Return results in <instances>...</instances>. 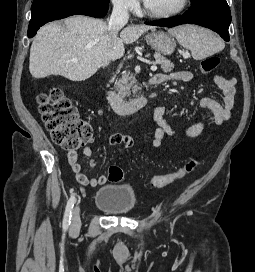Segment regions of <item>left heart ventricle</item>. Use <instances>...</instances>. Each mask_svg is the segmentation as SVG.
<instances>
[{"label":"left heart ventricle","mask_w":255,"mask_h":272,"mask_svg":"<svg viewBox=\"0 0 255 272\" xmlns=\"http://www.w3.org/2000/svg\"><path fill=\"white\" fill-rule=\"evenodd\" d=\"M182 0H147L146 6L152 12H165L177 8Z\"/></svg>","instance_id":"left-heart-ventricle-1"}]
</instances>
